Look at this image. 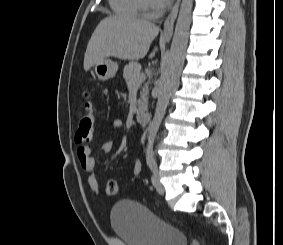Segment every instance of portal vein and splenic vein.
I'll return each instance as SVG.
<instances>
[{"instance_id":"1","label":"portal vein and splenic vein","mask_w":283,"mask_h":245,"mask_svg":"<svg viewBox=\"0 0 283 245\" xmlns=\"http://www.w3.org/2000/svg\"><path fill=\"white\" fill-rule=\"evenodd\" d=\"M145 78H146V76L144 74H142L138 77L137 82L140 83V82L144 81Z\"/></svg>"}]
</instances>
